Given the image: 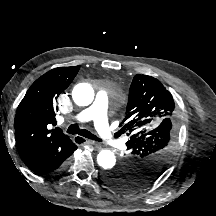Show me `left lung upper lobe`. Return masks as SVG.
<instances>
[{"instance_id":"1","label":"left lung upper lobe","mask_w":216,"mask_h":216,"mask_svg":"<svg viewBox=\"0 0 216 216\" xmlns=\"http://www.w3.org/2000/svg\"><path fill=\"white\" fill-rule=\"evenodd\" d=\"M122 133L127 154L105 182L131 193L147 187L165 171L179 134V118L171 93L156 78L136 74L129 90Z\"/></svg>"}]
</instances>
